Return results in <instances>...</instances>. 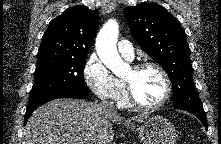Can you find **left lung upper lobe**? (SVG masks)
Masks as SVG:
<instances>
[{"mask_svg":"<svg viewBox=\"0 0 221 144\" xmlns=\"http://www.w3.org/2000/svg\"><path fill=\"white\" fill-rule=\"evenodd\" d=\"M123 12L136 41L169 75L174 107L203 110L193 83L186 33L179 20L156 3L129 6Z\"/></svg>","mask_w":221,"mask_h":144,"instance_id":"5c2ea615","label":"left lung upper lobe"}]
</instances>
